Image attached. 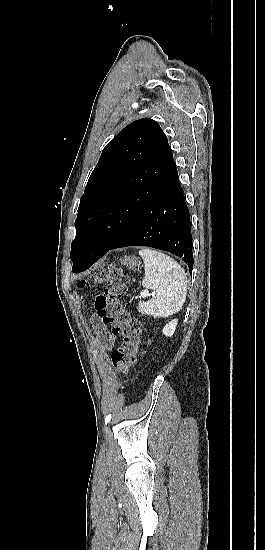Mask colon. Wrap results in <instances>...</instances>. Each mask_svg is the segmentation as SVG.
<instances>
[{
  "instance_id": "1",
  "label": "colon",
  "mask_w": 265,
  "mask_h": 550,
  "mask_svg": "<svg viewBox=\"0 0 265 550\" xmlns=\"http://www.w3.org/2000/svg\"><path fill=\"white\" fill-rule=\"evenodd\" d=\"M98 284L103 285V291L94 302L97 315L120 338L111 354V363L117 372L126 374L136 362L142 338L140 323L129 315L122 302L128 277L119 266L106 263L93 276L77 283L79 288Z\"/></svg>"
}]
</instances>
